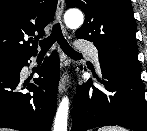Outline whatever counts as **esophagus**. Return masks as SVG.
Wrapping results in <instances>:
<instances>
[{
    "mask_svg": "<svg viewBox=\"0 0 147 131\" xmlns=\"http://www.w3.org/2000/svg\"><path fill=\"white\" fill-rule=\"evenodd\" d=\"M63 11H64V0H58L56 15H57L58 20L61 23H62ZM62 28H63L64 33H67L66 28L64 27L63 24H62ZM66 65H68L67 61L65 62V66ZM68 81H69V73L67 70H64L61 75L59 85H58L59 94H63V92L66 89Z\"/></svg>",
    "mask_w": 147,
    "mask_h": 131,
    "instance_id": "34e87169",
    "label": "esophagus"
}]
</instances>
